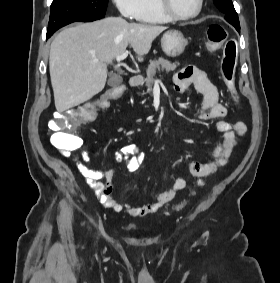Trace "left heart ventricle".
I'll use <instances>...</instances> for the list:
<instances>
[{
    "mask_svg": "<svg viewBox=\"0 0 280 283\" xmlns=\"http://www.w3.org/2000/svg\"><path fill=\"white\" fill-rule=\"evenodd\" d=\"M172 9L180 15L193 13L198 6V0H169Z\"/></svg>",
    "mask_w": 280,
    "mask_h": 283,
    "instance_id": "left-heart-ventricle-1",
    "label": "left heart ventricle"
}]
</instances>
